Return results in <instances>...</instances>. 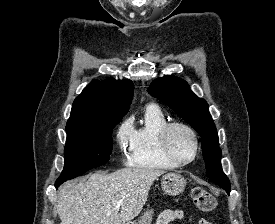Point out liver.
<instances>
[{"mask_svg":"<svg viewBox=\"0 0 275 224\" xmlns=\"http://www.w3.org/2000/svg\"><path fill=\"white\" fill-rule=\"evenodd\" d=\"M162 174L158 169L124 168L67 182L58 193L60 224H125L142 211L151 185Z\"/></svg>","mask_w":275,"mask_h":224,"instance_id":"obj_1","label":"liver"}]
</instances>
